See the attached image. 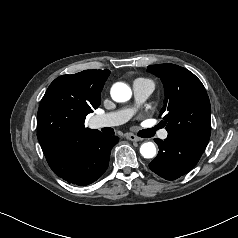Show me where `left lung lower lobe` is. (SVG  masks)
I'll use <instances>...</instances> for the list:
<instances>
[{
    "instance_id": "1",
    "label": "left lung lower lobe",
    "mask_w": 238,
    "mask_h": 238,
    "mask_svg": "<svg viewBox=\"0 0 238 238\" xmlns=\"http://www.w3.org/2000/svg\"><path fill=\"white\" fill-rule=\"evenodd\" d=\"M155 142L160 150L149 167L167 180H175L188 173L197 164L207 146L203 142L169 133L164 141L155 139Z\"/></svg>"
}]
</instances>
